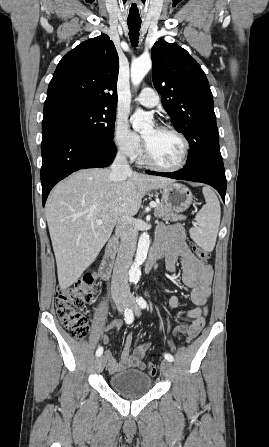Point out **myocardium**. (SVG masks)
I'll return each mask as SVG.
<instances>
[{
    "label": "myocardium",
    "instance_id": "myocardium-1",
    "mask_svg": "<svg viewBox=\"0 0 269 447\" xmlns=\"http://www.w3.org/2000/svg\"><path fill=\"white\" fill-rule=\"evenodd\" d=\"M158 127L163 130L171 131V132L177 134L182 139L183 144H184V149H183V154H182L181 160L179 161L178 164H176L174 166H165V165H162V164L154 161L152 159V155H151L150 149L148 147V144L146 143L145 139L143 138V152H144L143 160H144V162L153 168L163 170V171H177V170L182 169L187 163L189 152H190V142H189L188 137L182 131H180L179 129L175 128L172 125L160 124V125H158Z\"/></svg>",
    "mask_w": 269,
    "mask_h": 447
}]
</instances>
